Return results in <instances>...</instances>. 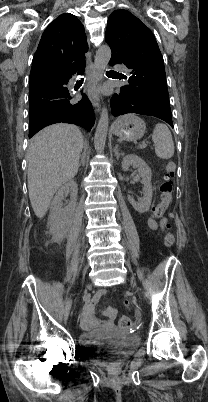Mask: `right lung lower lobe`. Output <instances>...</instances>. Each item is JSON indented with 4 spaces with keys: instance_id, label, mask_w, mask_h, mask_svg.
I'll return each mask as SVG.
<instances>
[{
    "instance_id": "1",
    "label": "right lung lower lobe",
    "mask_w": 208,
    "mask_h": 402,
    "mask_svg": "<svg viewBox=\"0 0 208 402\" xmlns=\"http://www.w3.org/2000/svg\"><path fill=\"white\" fill-rule=\"evenodd\" d=\"M85 57L80 60L78 69L72 74L84 73ZM48 75L31 77L29 79V91H37L51 88L49 92L57 98L47 111L41 112L35 119L30 121L29 138L42 128L54 123H71L90 131L95 123L94 111L88 97L83 94L81 101L74 103L66 84L72 77ZM51 104V103H50Z\"/></svg>"
}]
</instances>
